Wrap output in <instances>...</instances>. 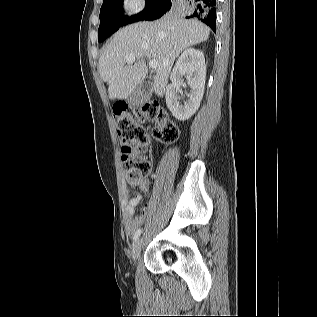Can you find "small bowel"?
I'll use <instances>...</instances> for the list:
<instances>
[{"label":"small bowel","mask_w":317,"mask_h":317,"mask_svg":"<svg viewBox=\"0 0 317 317\" xmlns=\"http://www.w3.org/2000/svg\"><path fill=\"white\" fill-rule=\"evenodd\" d=\"M141 191L147 192L149 186V180L143 178L138 182L134 183ZM141 201V196L135 194L127 203L124 213V229L127 234H132L135 230L144 222L145 215L141 213L140 215L133 217L137 206Z\"/></svg>","instance_id":"c3829d8e"}]
</instances>
